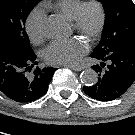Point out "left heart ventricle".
<instances>
[{
    "instance_id": "left-heart-ventricle-1",
    "label": "left heart ventricle",
    "mask_w": 135,
    "mask_h": 135,
    "mask_svg": "<svg viewBox=\"0 0 135 135\" xmlns=\"http://www.w3.org/2000/svg\"><path fill=\"white\" fill-rule=\"evenodd\" d=\"M96 19H97L96 10L93 9V8H90V9L87 11V14H86V20H87L88 24H89V25H94L95 22H96Z\"/></svg>"
}]
</instances>
